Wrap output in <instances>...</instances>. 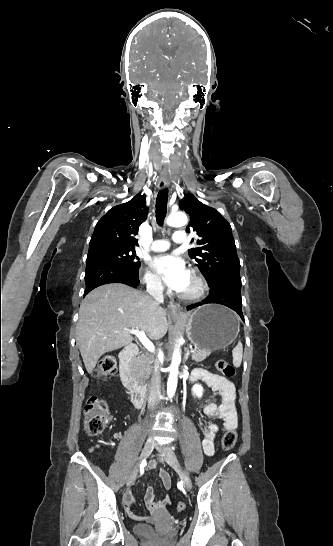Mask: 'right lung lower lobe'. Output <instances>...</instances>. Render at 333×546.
Instances as JSON below:
<instances>
[{
    "label": "right lung lower lobe",
    "mask_w": 333,
    "mask_h": 546,
    "mask_svg": "<svg viewBox=\"0 0 333 546\" xmlns=\"http://www.w3.org/2000/svg\"><path fill=\"white\" fill-rule=\"evenodd\" d=\"M139 269H133L122 264L104 260L93 259L86 262L84 296L94 288L107 283H123L137 287Z\"/></svg>",
    "instance_id": "right-lung-lower-lobe-1"
}]
</instances>
